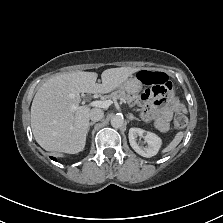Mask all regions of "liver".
<instances>
[{"instance_id": "1", "label": "liver", "mask_w": 223, "mask_h": 223, "mask_svg": "<svg viewBox=\"0 0 223 223\" xmlns=\"http://www.w3.org/2000/svg\"><path fill=\"white\" fill-rule=\"evenodd\" d=\"M140 68L120 67L97 73L77 71L61 74L45 82L31 106V128L37 143L46 151L76 154L86 143L90 108L80 106V93L105 94L118 88ZM78 106L74 111L72 106Z\"/></svg>"}]
</instances>
